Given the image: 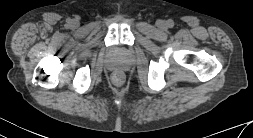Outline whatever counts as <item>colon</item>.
Returning a JSON list of instances; mask_svg holds the SVG:
<instances>
[{
	"mask_svg": "<svg viewBox=\"0 0 253 138\" xmlns=\"http://www.w3.org/2000/svg\"><path fill=\"white\" fill-rule=\"evenodd\" d=\"M112 81L116 85H121L124 81V77L121 73H114L112 76Z\"/></svg>",
	"mask_w": 253,
	"mask_h": 138,
	"instance_id": "5ec220e1",
	"label": "colon"
}]
</instances>
